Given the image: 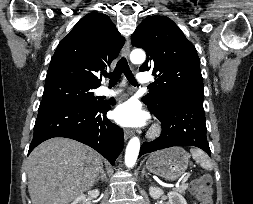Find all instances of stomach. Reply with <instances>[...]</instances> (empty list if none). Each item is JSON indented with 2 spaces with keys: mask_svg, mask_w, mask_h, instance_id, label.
<instances>
[{
  "mask_svg": "<svg viewBox=\"0 0 253 204\" xmlns=\"http://www.w3.org/2000/svg\"><path fill=\"white\" fill-rule=\"evenodd\" d=\"M188 164V153L181 147H172L152 153L146 167L151 173L173 181L185 173Z\"/></svg>",
  "mask_w": 253,
  "mask_h": 204,
  "instance_id": "1",
  "label": "stomach"
}]
</instances>
